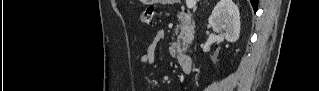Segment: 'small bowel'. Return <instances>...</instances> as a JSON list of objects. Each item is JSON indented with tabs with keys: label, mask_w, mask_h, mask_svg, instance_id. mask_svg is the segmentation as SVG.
<instances>
[{
	"label": "small bowel",
	"mask_w": 319,
	"mask_h": 91,
	"mask_svg": "<svg viewBox=\"0 0 319 91\" xmlns=\"http://www.w3.org/2000/svg\"><path fill=\"white\" fill-rule=\"evenodd\" d=\"M161 38V34H155L153 42L146 48L145 52L140 57L142 64H151L154 62L157 42L161 40Z\"/></svg>",
	"instance_id": "small-bowel-1"
}]
</instances>
